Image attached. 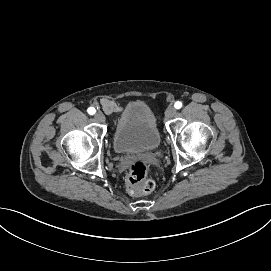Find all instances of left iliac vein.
I'll return each instance as SVG.
<instances>
[{
    "mask_svg": "<svg viewBox=\"0 0 271 271\" xmlns=\"http://www.w3.org/2000/svg\"><path fill=\"white\" fill-rule=\"evenodd\" d=\"M176 108L173 106H169L165 111V117L166 118H172L176 115Z\"/></svg>",
    "mask_w": 271,
    "mask_h": 271,
    "instance_id": "obj_1",
    "label": "left iliac vein"
}]
</instances>
